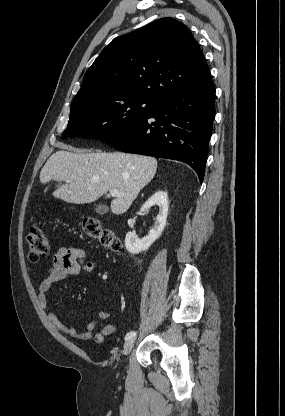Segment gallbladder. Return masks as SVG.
I'll return each mask as SVG.
<instances>
[{
  "instance_id": "bac80fb5",
  "label": "gallbladder",
  "mask_w": 285,
  "mask_h": 416,
  "mask_svg": "<svg viewBox=\"0 0 285 416\" xmlns=\"http://www.w3.org/2000/svg\"><path fill=\"white\" fill-rule=\"evenodd\" d=\"M95 212L96 214H100V216H102V214H107V212H109V208L108 206H104V204H99V206H96Z\"/></svg>"
}]
</instances>
